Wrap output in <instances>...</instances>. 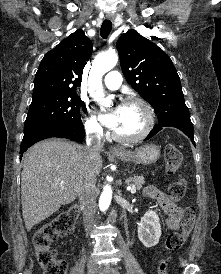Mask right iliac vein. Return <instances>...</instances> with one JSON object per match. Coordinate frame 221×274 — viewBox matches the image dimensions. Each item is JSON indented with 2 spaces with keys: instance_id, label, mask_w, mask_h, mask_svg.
<instances>
[{
  "instance_id": "obj_1",
  "label": "right iliac vein",
  "mask_w": 221,
  "mask_h": 274,
  "mask_svg": "<svg viewBox=\"0 0 221 274\" xmlns=\"http://www.w3.org/2000/svg\"><path fill=\"white\" fill-rule=\"evenodd\" d=\"M97 269L94 266H90L88 269V274H96Z\"/></svg>"
}]
</instances>
